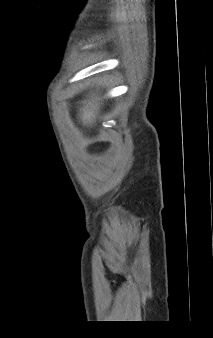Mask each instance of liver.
Listing matches in <instances>:
<instances>
[{
  "mask_svg": "<svg viewBox=\"0 0 213 338\" xmlns=\"http://www.w3.org/2000/svg\"><path fill=\"white\" fill-rule=\"evenodd\" d=\"M93 110L91 109H83V113H82V120L85 124H90L93 122Z\"/></svg>",
  "mask_w": 213,
  "mask_h": 338,
  "instance_id": "6515ba94",
  "label": "liver"
}]
</instances>
